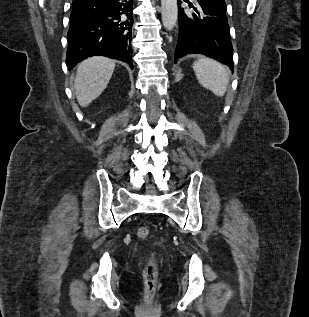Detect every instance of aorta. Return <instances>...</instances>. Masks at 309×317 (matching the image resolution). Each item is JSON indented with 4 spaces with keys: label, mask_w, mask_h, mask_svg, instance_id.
Segmentation results:
<instances>
[{
    "label": "aorta",
    "mask_w": 309,
    "mask_h": 317,
    "mask_svg": "<svg viewBox=\"0 0 309 317\" xmlns=\"http://www.w3.org/2000/svg\"><path fill=\"white\" fill-rule=\"evenodd\" d=\"M177 16V0H161V17L166 30H172L174 28Z\"/></svg>",
    "instance_id": "762f6f07"
}]
</instances>
